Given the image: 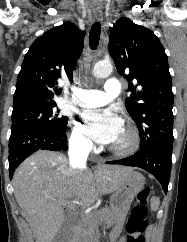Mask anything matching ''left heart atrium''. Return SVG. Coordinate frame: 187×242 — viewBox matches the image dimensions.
I'll return each instance as SVG.
<instances>
[{
  "instance_id": "1",
  "label": "left heart atrium",
  "mask_w": 187,
  "mask_h": 242,
  "mask_svg": "<svg viewBox=\"0 0 187 242\" xmlns=\"http://www.w3.org/2000/svg\"><path fill=\"white\" fill-rule=\"evenodd\" d=\"M82 116L87 135L100 144H111L122 125L120 118L110 109L89 110Z\"/></svg>"
}]
</instances>
